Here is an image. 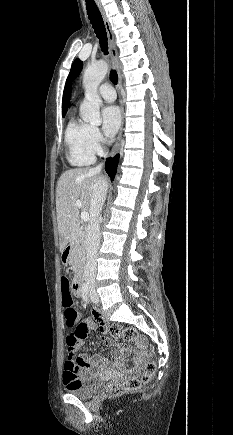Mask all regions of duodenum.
Instances as JSON below:
<instances>
[{"label": "duodenum", "instance_id": "obj_1", "mask_svg": "<svg viewBox=\"0 0 233 435\" xmlns=\"http://www.w3.org/2000/svg\"><path fill=\"white\" fill-rule=\"evenodd\" d=\"M73 249V243H67L62 249L61 261L63 264L68 263L69 255ZM83 273L79 272L74 280V288L77 296L81 295Z\"/></svg>", "mask_w": 233, "mask_h": 435}]
</instances>
